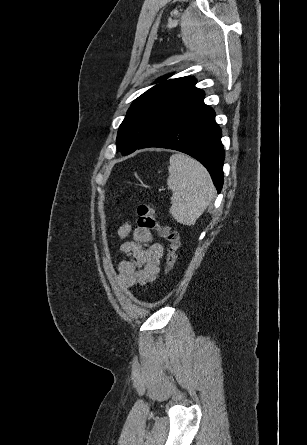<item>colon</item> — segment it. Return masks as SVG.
<instances>
[{
  "label": "colon",
  "instance_id": "colon-1",
  "mask_svg": "<svg viewBox=\"0 0 307 445\" xmlns=\"http://www.w3.org/2000/svg\"><path fill=\"white\" fill-rule=\"evenodd\" d=\"M139 218L138 227L155 231L167 242L166 253V273H169L177 260V253L180 247L179 234L166 225L160 224L155 218L156 207L154 204H141L138 207Z\"/></svg>",
  "mask_w": 307,
  "mask_h": 445
}]
</instances>
